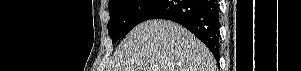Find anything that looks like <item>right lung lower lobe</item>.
Masks as SVG:
<instances>
[{"label": "right lung lower lobe", "mask_w": 301, "mask_h": 71, "mask_svg": "<svg viewBox=\"0 0 301 71\" xmlns=\"http://www.w3.org/2000/svg\"><path fill=\"white\" fill-rule=\"evenodd\" d=\"M167 19L190 30L219 61V6L217 0H156L140 17Z\"/></svg>", "instance_id": "1"}]
</instances>
